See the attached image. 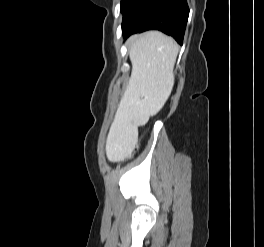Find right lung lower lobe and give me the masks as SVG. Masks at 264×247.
Instances as JSON below:
<instances>
[{
    "label": "right lung lower lobe",
    "instance_id": "98d812e1",
    "mask_svg": "<svg viewBox=\"0 0 264 247\" xmlns=\"http://www.w3.org/2000/svg\"><path fill=\"white\" fill-rule=\"evenodd\" d=\"M189 16L186 0H130L123 12L122 33L160 30L182 44Z\"/></svg>",
    "mask_w": 264,
    "mask_h": 247
}]
</instances>
